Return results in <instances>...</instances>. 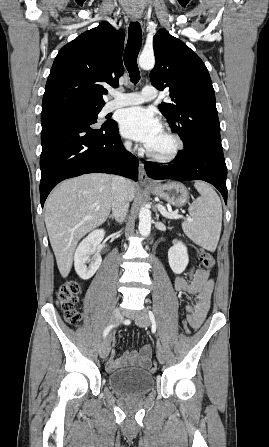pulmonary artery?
<instances>
[{
	"label": "pulmonary artery",
	"instance_id": "e3ab8cb5",
	"mask_svg": "<svg viewBox=\"0 0 269 447\" xmlns=\"http://www.w3.org/2000/svg\"><path fill=\"white\" fill-rule=\"evenodd\" d=\"M158 95V92L156 88L153 86H145L141 91L139 92H132V93H117L113 95V99L109 101L106 106L105 110L111 111L120 107L128 106V105H135V104H141L144 102H149L155 99Z\"/></svg>",
	"mask_w": 269,
	"mask_h": 447
}]
</instances>
